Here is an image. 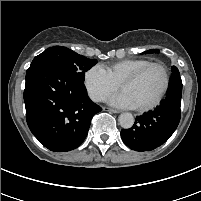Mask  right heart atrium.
Masks as SVG:
<instances>
[{
  "instance_id": "1",
  "label": "right heart atrium",
  "mask_w": 201,
  "mask_h": 201,
  "mask_svg": "<svg viewBox=\"0 0 201 201\" xmlns=\"http://www.w3.org/2000/svg\"><path fill=\"white\" fill-rule=\"evenodd\" d=\"M84 87L88 96L95 102H101L118 89L103 66L94 65L84 74Z\"/></svg>"
}]
</instances>
